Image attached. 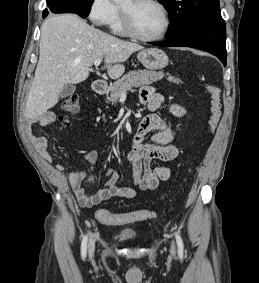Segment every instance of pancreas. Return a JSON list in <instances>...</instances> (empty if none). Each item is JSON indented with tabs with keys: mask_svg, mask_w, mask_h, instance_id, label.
Masks as SVG:
<instances>
[{
	"mask_svg": "<svg viewBox=\"0 0 259 283\" xmlns=\"http://www.w3.org/2000/svg\"><path fill=\"white\" fill-rule=\"evenodd\" d=\"M165 74L163 72H156L153 70H134L125 74L121 79L114 82L110 88V96L107 100L111 101L113 104L121 97V95L131 90L133 87H140L146 84H152L158 80H161ZM167 80L176 84L182 83L179 78H175L167 74Z\"/></svg>",
	"mask_w": 259,
	"mask_h": 283,
	"instance_id": "obj_1",
	"label": "pancreas"
}]
</instances>
